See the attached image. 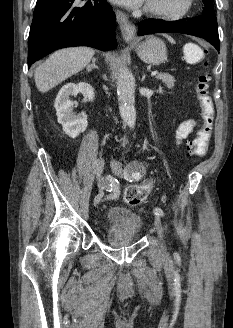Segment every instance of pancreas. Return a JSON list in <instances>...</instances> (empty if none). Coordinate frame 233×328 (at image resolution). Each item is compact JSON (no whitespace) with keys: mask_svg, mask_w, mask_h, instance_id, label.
<instances>
[{"mask_svg":"<svg viewBox=\"0 0 233 328\" xmlns=\"http://www.w3.org/2000/svg\"><path fill=\"white\" fill-rule=\"evenodd\" d=\"M158 80H161L168 88H173L175 84V78L168 73H160L156 77Z\"/></svg>","mask_w":233,"mask_h":328,"instance_id":"1","label":"pancreas"}]
</instances>
